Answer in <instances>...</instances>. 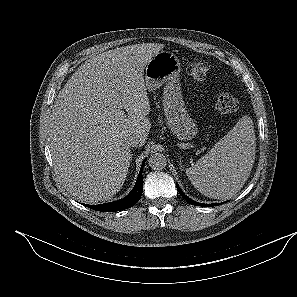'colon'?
Returning <instances> with one entry per match:
<instances>
[{
    "label": "colon",
    "instance_id": "obj_1",
    "mask_svg": "<svg viewBox=\"0 0 297 297\" xmlns=\"http://www.w3.org/2000/svg\"><path fill=\"white\" fill-rule=\"evenodd\" d=\"M191 78L196 82H203L209 73L210 64L204 60L191 62L187 67ZM237 100L228 93H220L215 101V110L218 114H230L236 111Z\"/></svg>",
    "mask_w": 297,
    "mask_h": 297
}]
</instances>
